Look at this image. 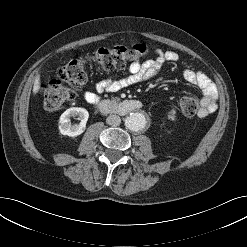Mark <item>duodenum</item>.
Instances as JSON below:
<instances>
[{
	"label": "duodenum",
	"instance_id": "1",
	"mask_svg": "<svg viewBox=\"0 0 247 247\" xmlns=\"http://www.w3.org/2000/svg\"><path fill=\"white\" fill-rule=\"evenodd\" d=\"M143 104L136 99L111 100L105 99L97 103V108L108 114L125 115L142 109Z\"/></svg>",
	"mask_w": 247,
	"mask_h": 247
}]
</instances>
